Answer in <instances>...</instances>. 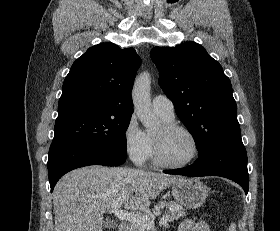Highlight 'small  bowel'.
I'll list each match as a JSON object with an SVG mask.
<instances>
[{
	"mask_svg": "<svg viewBox=\"0 0 280 231\" xmlns=\"http://www.w3.org/2000/svg\"><path fill=\"white\" fill-rule=\"evenodd\" d=\"M178 231H209V226L205 221L195 222L185 219L178 227Z\"/></svg>",
	"mask_w": 280,
	"mask_h": 231,
	"instance_id": "c3829d8e",
	"label": "small bowel"
}]
</instances>
